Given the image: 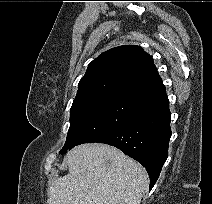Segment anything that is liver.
<instances>
[{
	"instance_id": "obj_1",
	"label": "liver",
	"mask_w": 212,
	"mask_h": 204,
	"mask_svg": "<svg viewBox=\"0 0 212 204\" xmlns=\"http://www.w3.org/2000/svg\"><path fill=\"white\" fill-rule=\"evenodd\" d=\"M64 163L69 174L51 182L48 204H140L149 186L138 162L106 144L79 145Z\"/></svg>"
}]
</instances>
